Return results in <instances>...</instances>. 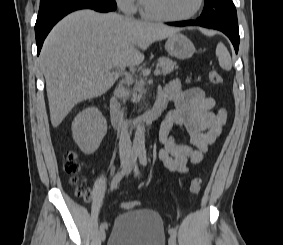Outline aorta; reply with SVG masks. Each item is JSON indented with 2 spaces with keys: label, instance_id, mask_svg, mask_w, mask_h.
Listing matches in <instances>:
<instances>
[{
  "label": "aorta",
  "instance_id": "762f6f07",
  "mask_svg": "<svg viewBox=\"0 0 283 245\" xmlns=\"http://www.w3.org/2000/svg\"><path fill=\"white\" fill-rule=\"evenodd\" d=\"M133 148L137 151L145 150V128L138 125L134 135Z\"/></svg>",
  "mask_w": 283,
  "mask_h": 245
}]
</instances>
